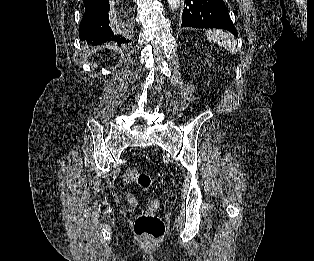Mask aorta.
<instances>
[{
  "instance_id": "1",
  "label": "aorta",
  "mask_w": 314,
  "mask_h": 261,
  "mask_svg": "<svg viewBox=\"0 0 314 261\" xmlns=\"http://www.w3.org/2000/svg\"><path fill=\"white\" fill-rule=\"evenodd\" d=\"M169 7L172 10H177L180 7V0H167Z\"/></svg>"
}]
</instances>
